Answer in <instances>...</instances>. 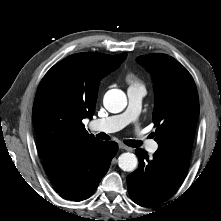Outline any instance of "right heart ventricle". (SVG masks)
<instances>
[{
    "mask_svg": "<svg viewBox=\"0 0 221 221\" xmlns=\"http://www.w3.org/2000/svg\"><path fill=\"white\" fill-rule=\"evenodd\" d=\"M128 79H129L130 81H133V77H132V76H129Z\"/></svg>",
    "mask_w": 221,
    "mask_h": 221,
    "instance_id": "e07e8e85",
    "label": "right heart ventricle"
}]
</instances>
